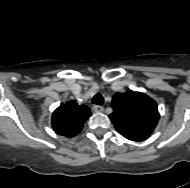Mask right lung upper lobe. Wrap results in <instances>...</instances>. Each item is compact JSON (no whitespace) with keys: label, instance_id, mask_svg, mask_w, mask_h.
<instances>
[{"label":"right lung upper lobe","instance_id":"obj_1","mask_svg":"<svg viewBox=\"0 0 190 188\" xmlns=\"http://www.w3.org/2000/svg\"><path fill=\"white\" fill-rule=\"evenodd\" d=\"M91 116L90 109L85 105H78L74 100L61 103L53 112L52 126L59 135L71 138L83 128L85 121Z\"/></svg>","mask_w":190,"mask_h":188}]
</instances>
